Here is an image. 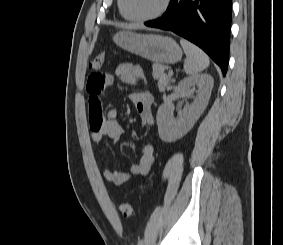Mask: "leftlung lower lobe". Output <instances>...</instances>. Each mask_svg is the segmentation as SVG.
<instances>
[{
  "label": "left lung lower lobe",
  "instance_id": "0a47b994",
  "mask_svg": "<svg viewBox=\"0 0 283 245\" xmlns=\"http://www.w3.org/2000/svg\"><path fill=\"white\" fill-rule=\"evenodd\" d=\"M232 0H171L165 14L146 26L173 31L202 48L226 75Z\"/></svg>",
  "mask_w": 283,
  "mask_h": 245
}]
</instances>
